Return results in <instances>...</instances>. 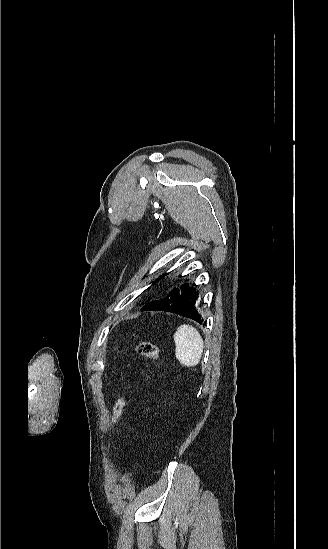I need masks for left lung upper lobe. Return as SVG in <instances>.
Listing matches in <instances>:
<instances>
[{
  "label": "left lung upper lobe",
  "mask_w": 328,
  "mask_h": 549,
  "mask_svg": "<svg viewBox=\"0 0 328 549\" xmlns=\"http://www.w3.org/2000/svg\"><path fill=\"white\" fill-rule=\"evenodd\" d=\"M178 294H179V290L175 289L171 293H169L165 298H163L162 300H169V299L174 300V299L177 298Z\"/></svg>",
  "instance_id": "obj_1"
}]
</instances>
